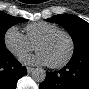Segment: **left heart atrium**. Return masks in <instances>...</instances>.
Instances as JSON below:
<instances>
[{"instance_id": "obj_1", "label": "left heart atrium", "mask_w": 89, "mask_h": 89, "mask_svg": "<svg viewBox=\"0 0 89 89\" xmlns=\"http://www.w3.org/2000/svg\"><path fill=\"white\" fill-rule=\"evenodd\" d=\"M21 60L27 64H39V65L50 64L46 55L39 51L35 55L24 56Z\"/></svg>"}]
</instances>
